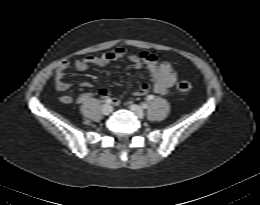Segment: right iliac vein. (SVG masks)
<instances>
[{
	"label": "right iliac vein",
	"mask_w": 260,
	"mask_h": 205,
	"mask_svg": "<svg viewBox=\"0 0 260 205\" xmlns=\"http://www.w3.org/2000/svg\"><path fill=\"white\" fill-rule=\"evenodd\" d=\"M101 110L104 115H109L112 112V106L109 104H105L102 106Z\"/></svg>",
	"instance_id": "obj_1"
}]
</instances>
